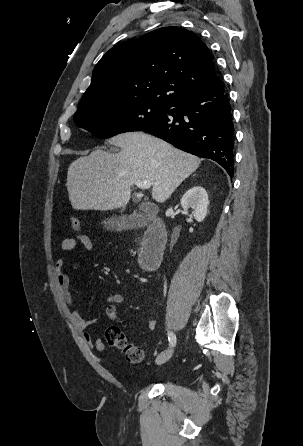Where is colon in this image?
Wrapping results in <instances>:
<instances>
[{"mask_svg": "<svg viewBox=\"0 0 303 446\" xmlns=\"http://www.w3.org/2000/svg\"><path fill=\"white\" fill-rule=\"evenodd\" d=\"M70 226L79 235H85L82 231V225L76 217H70ZM105 338L108 345L112 348H116L122 351L125 359L132 363L137 364L143 359V350L130 342H128L124 332L118 326H109L105 331Z\"/></svg>", "mask_w": 303, "mask_h": 446, "instance_id": "1", "label": "colon"}]
</instances>
